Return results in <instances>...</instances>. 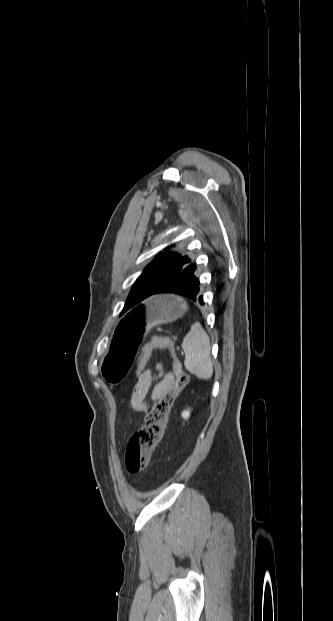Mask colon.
Here are the masks:
<instances>
[{
	"label": "colon",
	"mask_w": 333,
	"mask_h": 621,
	"mask_svg": "<svg viewBox=\"0 0 333 621\" xmlns=\"http://www.w3.org/2000/svg\"><path fill=\"white\" fill-rule=\"evenodd\" d=\"M159 348H167L173 355L175 381L169 391L153 405L142 426L128 442L125 451V466L132 475L142 472L148 466L150 457L162 438L170 409L176 397L189 383V377L182 368L175 348L166 337H154L144 346L137 367V378L139 379L145 371L152 352Z\"/></svg>",
	"instance_id": "1"
}]
</instances>
